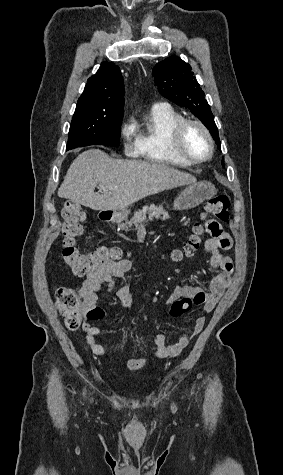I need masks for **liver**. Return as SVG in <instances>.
<instances>
[{
    "label": "liver",
    "instance_id": "1",
    "mask_svg": "<svg viewBox=\"0 0 283 475\" xmlns=\"http://www.w3.org/2000/svg\"><path fill=\"white\" fill-rule=\"evenodd\" d=\"M195 182V176L166 164L113 160L101 150H87L72 162L57 194L91 210L116 212L146 196ZM96 186L108 192L94 194Z\"/></svg>",
    "mask_w": 283,
    "mask_h": 475
}]
</instances>
